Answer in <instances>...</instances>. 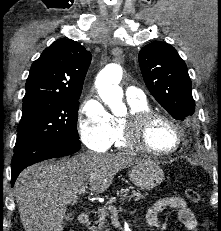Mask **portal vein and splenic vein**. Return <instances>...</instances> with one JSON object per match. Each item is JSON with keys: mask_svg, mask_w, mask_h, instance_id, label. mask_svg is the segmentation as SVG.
Segmentation results:
<instances>
[{"mask_svg": "<svg viewBox=\"0 0 221 231\" xmlns=\"http://www.w3.org/2000/svg\"><path fill=\"white\" fill-rule=\"evenodd\" d=\"M83 193H85V187H82L78 190V194H83ZM111 209H115V207L112 206Z\"/></svg>", "mask_w": 221, "mask_h": 231, "instance_id": "portal-vein-and-splenic-vein-1", "label": "portal vein and splenic vein"}]
</instances>
